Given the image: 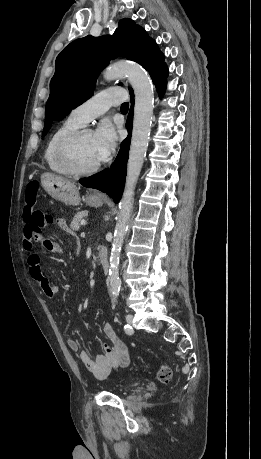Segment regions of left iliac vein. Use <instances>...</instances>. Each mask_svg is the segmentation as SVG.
<instances>
[{
  "instance_id": "left-iliac-vein-1",
  "label": "left iliac vein",
  "mask_w": 261,
  "mask_h": 459,
  "mask_svg": "<svg viewBox=\"0 0 261 459\" xmlns=\"http://www.w3.org/2000/svg\"><path fill=\"white\" fill-rule=\"evenodd\" d=\"M126 321H127L128 324L132 325V323H133V315L132 314H128L126 316Z\"/></svg>"
}]
</instances>
